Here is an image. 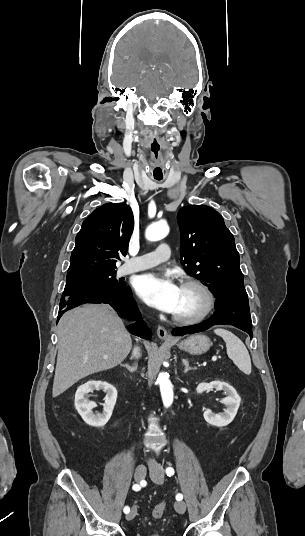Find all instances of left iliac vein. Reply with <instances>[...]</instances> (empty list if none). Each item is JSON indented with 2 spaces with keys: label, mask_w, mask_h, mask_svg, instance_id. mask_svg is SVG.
I'll list each match as a JSON object with an SVG mask.
<instances>
[{
  "label": "left iliac vein",
  "mask_w": 305,
  "mask_h": 536,
  "mask_svg": "<svg viewBox=\"0 0 305 536\" xmlns=\"http://www.w3.org/2000/svg\"><path fill=\"white\" fill-rule=\"evenodd\" d=\"M150 475L154 482L162 484L164 481V469L160 466H153L150 469ZM175 509L178 513H184L186 510V505L183 501H177L174 504Z\"/></svg>",
  "instance_id": "left-iliac-vein-1"
}]
</instances>
